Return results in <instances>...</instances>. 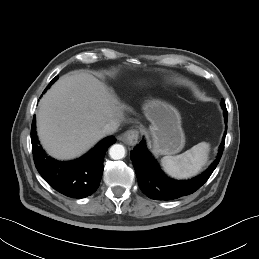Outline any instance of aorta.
Instances as JSON below:
<instances>
[{"label": "aorta", "mask_w": 259, "mask_h": 259, "mask_svg": "<svg viewBox=\"0 0 259 259\" xmlns=\"http://www.w3.org/2000/svg\"><path fill=\"white\" fill-rule=\"evenodd\" d=\"M109 155L112 159L118 160L125 157V148L123 145L114 144L110 147Z\"/></svg>", "instance_id": "aorta-1"}]
</instances>
